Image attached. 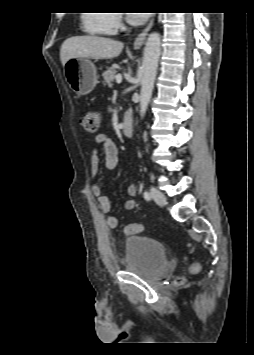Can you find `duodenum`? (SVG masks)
I'll return each mask as SVG.
<instances>
[{
	"label": "duodenum",
	"instance_id": "1",
	"mask_svg": "<svg viewBox=\"0 0 254 355\" xmlns=\"http://www.w3.org/2000/svg\"><path fill=\"white\" fill-rule=\"evenodd\" d=\"M133 130H134V126H133L132 116L130 112H127L123 117L122 132L125 136L131 137L133 135Z\"/></svg>",
	"mask_w": 254,
	"mask_h": 355
}]
</instances>
